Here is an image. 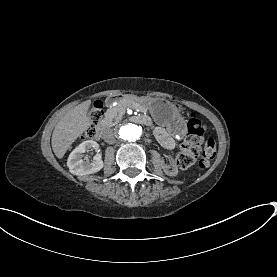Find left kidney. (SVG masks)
I'll return each mask as SVG.
<instances>
[{
  "mask_svg": "<svg viewBox=\"0 0 277 277\" xmlns=\"http://www.w3.org/2000/svg\"><path fill=\"white\" fill-rule=\"evenodd\" d=\"M162 168L165 174L168 176H176L178 174V168L175 164H172V169L169 170V166L165 165L164 162H162Z\"/></svg>",
  "mask_w": 277,
  "mask_h": 277,
  "instance_id": "5707ae66",
  "label": "left kidney"
}]
</instances>
